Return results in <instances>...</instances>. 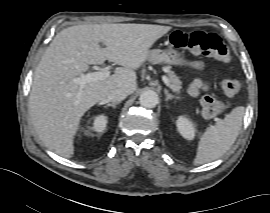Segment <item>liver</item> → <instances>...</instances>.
<instances>
[{
  "instance_id": "liver-1",
  "label": "liver",
  "mask_w": 270,
  "mask_h": 213,
  "mask_svg": "<svg viewBox=\"0 0 270 213\" xmlns=\"http://www.w3.org/2000/svg\"><path fill=\"white\" fill-rule=\"evenodd\" d=\"M171 30L151 24H86L59 32L44 52L33 77L30 116L40 139L56 154L71 158L82 116L114 89L137 90L135 70L147 60L153 44ZM103 42L106 48H101ZM106 60L118 67L104 80L82 89L71 80L89 65Z\"/></svg>"
}]
</instances>
